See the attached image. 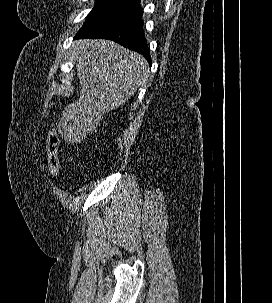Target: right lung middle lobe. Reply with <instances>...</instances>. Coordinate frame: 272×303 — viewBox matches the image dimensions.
<instances>
[{
    "mask_svg": "<svg viewBox=\"0 0 272 303\" xmlns=\"http://www.w3.org/2000/svg\"><path fill=\"white\" fill-rule=\"evenodd\" d=\"M142 11L137 5L120 1L96 0V5L88 14L78 33L91 31L104 24L119 21Z\"/></svg>",
    "mask_w": 272,
    "mask_h": 303,
    "instance_id": "dd1d6c3e",
    "label": "right lung middle lobe"
}]
</instances>
